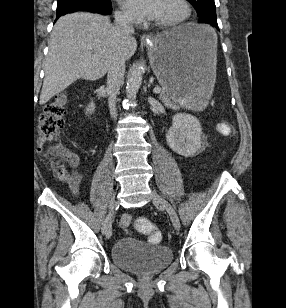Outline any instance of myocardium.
<instances>
[{"mask_svg": "<svg viewBox=\"0 0 286 308\" xmlns=\"http://www.w3.org/2000/svg\"><path fill=\"white\" fill-rule=\"evenodd\" d=\"M183 9V14L174 20L156 21V25L162 28H173L185 23L191 16V7L187 0H177Z\"/></svg>", "mask_w": 286, "mask_h": 308, "instance_id": "myocardium-1", "label": "myocardium"}]
</instances>
